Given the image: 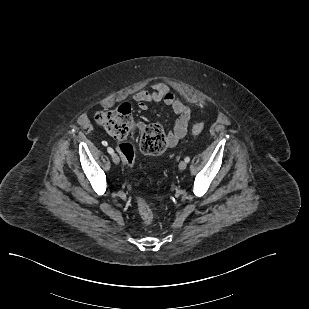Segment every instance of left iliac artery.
<instances>
[{"mask_svg": "<svg viewBox=\"0 0 309 309\" xmlns=\"http://www.w3.org/2000/svg\"><path fill=\"white\" fill-rule=\"evenodd\" d=\"M185 161L188 163L190 161V157H186Z\"/></svg>", "mask_w": 309, "mask_h": 309, "instance_id": "obj_1", "label": "left iliac artery"}]
</instances>
